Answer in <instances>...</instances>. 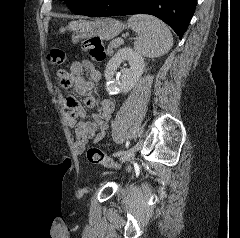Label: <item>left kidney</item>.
Masks as SVG:
<instances>
[{"label": "left kidney", "mask_w": 240, "mask_h": 238, "mask_svg": "<svg viewBox=\"0 0 240 238\" xmlns=\"http://www.w3.org/2000/svg\"><path fill=\"white\" fill-rule=\"evenodd\" d=\"M124 61H129L130 68L122 71L121 81L114 80L116 69ZM145 68L144 58L141 54L134 51L130 47H124L112 57L107 63L104 76L107 81L106 89L110 94H118L120 92H129L138 82Z\"/></svg>", "instance_id": "left-kidney-1"}]
</instances>
